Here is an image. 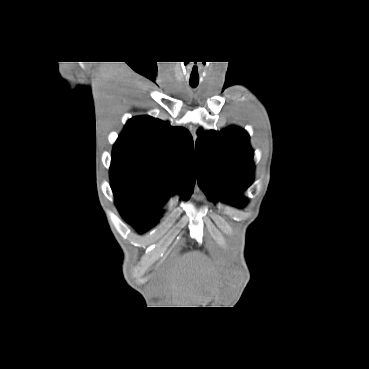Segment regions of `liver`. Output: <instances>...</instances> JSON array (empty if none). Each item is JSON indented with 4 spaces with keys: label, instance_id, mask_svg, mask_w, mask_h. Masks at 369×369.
Segmentation results:
<instances>
[{
    "label": "liver",
    "instance_id": "obj_1",
    "mask_svg": "<svg viewBox=\"0 0 369 369\" xmlns=\"http://www.w3.org/2000/svg\"><path fill=\"white\" fill-rule=\"evenodd\" d=\"M193 259V263L202 264L203 269H199L198 266H189V260ZM208 265V260L205 256L193 253L189 256L182 258L178 264L170 270V272L165 276V284L170 289V295L173 298L182 294L188 287H190L193 282H197L202 278L206 271L204 267Z\"/></svg>",
    "mask_w": 369,
    "mask_h": 369
}]
</instances>
